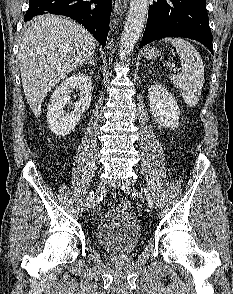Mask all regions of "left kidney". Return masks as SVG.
<instances>
[{
    "label": "left kidney",
    "instance_id": "5707ae66",
    "mask_svg": "<svg viewBox=\"0 0 233 294\" xmlns=\"http://www.w3.org/2000/svg\"><path fill=\"white\" fill-rule=\"evenodd\" d=\"M149 106L156 121L166 128L179 125V107L175 99L159 84L152 85L148 90Z\"/></svg>",
    "mask_w": 233,
    "mask_h": 294
}]
</instances>
